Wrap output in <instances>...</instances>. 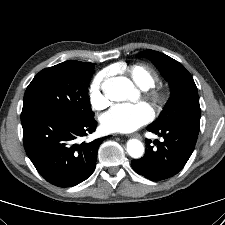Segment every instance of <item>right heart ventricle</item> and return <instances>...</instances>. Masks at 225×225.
<instances>
[{"label":"right heart ventricle","instance_id":"right-heart-ventricle-1","mask_svg":"<svg viewBox=\"0 0 225 225\" xmlns=\"http://www.w3.org/2000/svg\"><path fill=\"white\" fill-rule=\"evenodd\" d=\"M126 72L144 90L155 86L159 81L158 74L145 64L137 63L130 65L126 68Z\"/></svg>","mask_w":225,"mask_h":225}]
</instances>
